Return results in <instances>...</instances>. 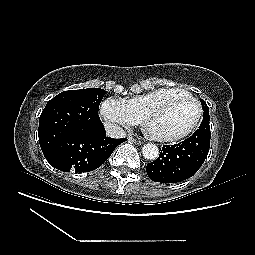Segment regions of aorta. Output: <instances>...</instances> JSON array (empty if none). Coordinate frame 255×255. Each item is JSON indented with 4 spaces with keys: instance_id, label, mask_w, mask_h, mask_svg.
<instances>
[{
    "instance_id": "1",
    "label": "aorta",
    "mask_w": 255,
    "mask_h": 255,
    "mask_svg": "<svg viewBox=\"0 0 255 255\" xmlns=\"http://www.w3.org/2000/svg\"><path fill=\"white\" fill-rule=\"evenodd\" d=\"M144 158L148 160H155L159 156V149L153 143H147L142 147Z\"/></svg>"
}]
</instances>
